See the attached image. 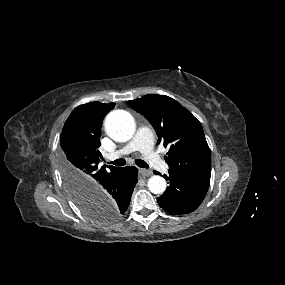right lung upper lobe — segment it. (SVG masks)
I'll return each instance as SVG.
<instances>
[{
    "instance_id": "obj_1",
    "label": "right lung upper lobe",
    "mask_w": 285,
    "mask_h": 285,
    "mask_svg": "<svg viewBox=\"0 0 285 285\" xmlns=\"http://www.w3.org/2000/svg\"><path fill=\"white\" fill-rule=\"evenodd\" d=\"M115 103L91 102L80 105L70 114L63 127L60 144L62 150L61 167L77 184V192L96 198L93 187L99 180L120 168L99 167L102 159L99 151L101 126L105 115Z\"/></svg>"
}]
</instances>
